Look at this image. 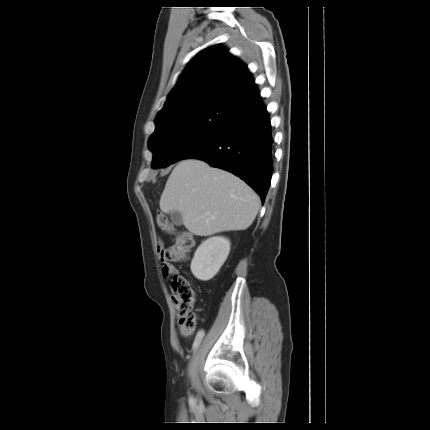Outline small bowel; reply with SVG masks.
<instances>
[{"label": "small bowel", "mask_w": 430, "mask_h": 430, "mask_svg": "<svg viewBox=\"0 0 430 430\" xmlns=\"http://www.w3.org/2000/svg\"><path fill=\"white\" fill-rule=\"evenodd\" d=\"M158 245H161L160 240L158 241ZM159 263H161L162 273L164 276H170L178 273V270L174 265L166 263V258H159ZM198 332H200L201 336H204L205 334L204 330L202 329Z\"/></svg>", "instance_id": "obj_1"}]
</instances>
